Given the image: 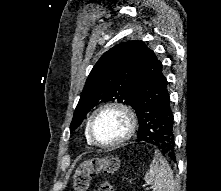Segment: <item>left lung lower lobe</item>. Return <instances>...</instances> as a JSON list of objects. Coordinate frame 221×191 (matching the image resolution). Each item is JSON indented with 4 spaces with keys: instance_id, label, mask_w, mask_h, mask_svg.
Masks as SVG:
<instances>
[{
    "instance_id": "1",
    "label": "left lung lower lobe",
    "mask_w": 221,
    "mask_h": 191,
    "mask_svg": "<svg viewBox=\"0 0 221 191\" xmlns=\"http://www.w3.org/2000/svg\"><path fill=\"white\" fill-rule=\"evenodd\" d=\"M134 109L139 122L137 141L155 145L175 161L174 116L162 73V63L146 47L134 85Z\"/></svg>"
}]
</instances>
